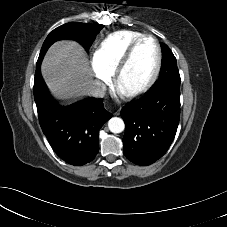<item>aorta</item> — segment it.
Instances as JSON below:
<instances>
[{
  "label": "aorta",
  "instance_id": "aorta-1",
  "mask_svg": "<svg viewBox=\"0 0 227 227\" xmlns=\"http://www.w3.org/2000/svg\"><path fill=\"white\" fill-rule=\"evenodd\" d=\"M108 127L112 133H121L125 128V124L121 118L113 117L108 121Z\"/></svg>",
  "mask_w": 227,
  "mask_h": 227
}]
</instances>
